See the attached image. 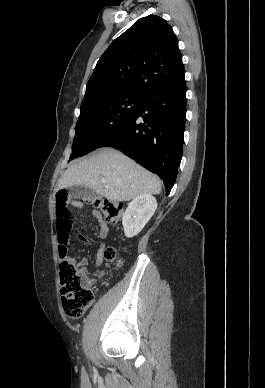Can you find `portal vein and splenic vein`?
<instances>
[{"label": "portal vein and splenic vein", "instance_id": "obj_1", "mask_svg": "<svg viewBox=\"0 0 265 388\" xmlns=\"http://www.w3.org/2000/svg\"><path fill=\"white\" fill-rule=\"evenodd\" d=\"M100 182H102V184H104L105 188H108V186H106L107 180H104V178H101Z\"/></svg>", "mask_w": 265, "mask_h": 388}]
</instances>
